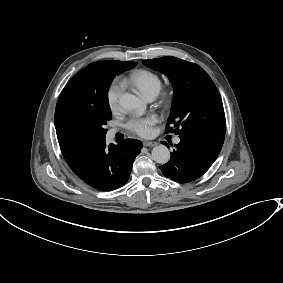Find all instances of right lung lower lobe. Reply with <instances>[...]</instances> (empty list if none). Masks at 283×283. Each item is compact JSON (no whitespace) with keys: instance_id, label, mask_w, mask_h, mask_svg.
<instances>
[{"instance_id":"right-lung-lower-lobe-1","label":"right lung lower lobe","mask_w":283,"mask_h":283,"mask_svg":"<svg viewBox=\"0 0 283 283\" xmlns=\"http://www.w3.org/2000/svg\"><path fill=\"white\" fill-rule=\"evenodd\" d=\"M142 142L126 139L117 145L100 143L83 160L72 166V171L95 189L111 191L129 179L133 162L140 153Z\"/></svg>"}]
</instances>
